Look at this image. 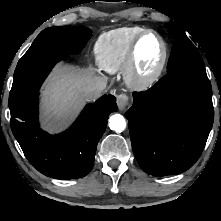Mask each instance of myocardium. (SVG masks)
<instances>
[{"label":"myocardium","mask_w":221,"mask_h":221,"mask_svg":"<svg viewBox=\"0 0 221 221\" xmlns=\"http://www.w3.org/2000/svg\"><path fill=\"white\" fill-rule=\"evenodd\" d=\"M150 34L155 35L159 39L162 46V55L157 67L150 74L142 75L140 74L137 65L138 48L143 38ZM167 59H168V46L163 36L159 32L153 29H145L135 38V40L133 41L130 47L127 63L124 69L127 83L131 87L140 90L151 87L159 80L160 76L162 75L163 70L167 63Z\"/></svg>","instance_id":"f54148a6"}]
</instances>
